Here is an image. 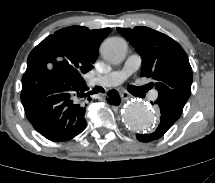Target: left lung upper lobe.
I'll return each mask as SVG.
<instances>
[{
	"instance_id": "5c2ea615",
	"label": "left lung upper lobe",
	"mask_w": 215,
	"mask_h": 183,
	"mask_svg": "<svg viewBox=\"0 0 215 183\" xmlns=\"http://www.w3.org/2000/svg\"><path fill=\"white\" fill-rule=\"evenodd\" d=\"M142 57L141 76L151 77L158 101L178 115L191 94L192 68L182 47L167 35L147 27L117 28Z\"/></svg>"
}]
</instances>
